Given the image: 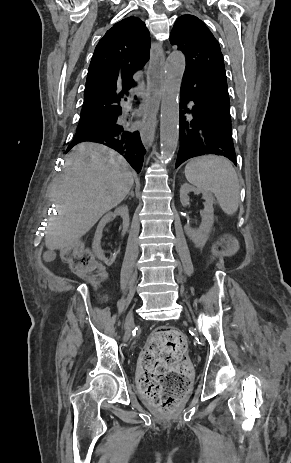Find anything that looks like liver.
<instances>
[{"mask_svg": "<svg viewBox=\"0 0 291 463\" xmlns=\"http://www.w3.org/2000/svg\"><path fill=\"white\" fill-rule=\"evenodd\" d=\"M130 166L120 154L97 143H81L65 159L64 173L52 187L57 215L45 237L49 251L78 241L133 186Z\"/></svg>", "mask_w": 291, "mask_h": 463, "instance_id": "obj_1", "label": "liver"}]
</instances>
